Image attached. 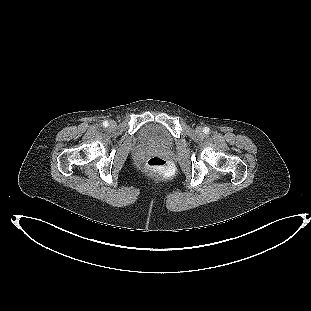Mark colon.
Instances as JSON below:
<instances>
[{
  "label": "colon",
  "mask_w": 311,
  "mask_h": 311,
  "mask_svg": "<svg viewBox=\"0 0 311 311\" xmlns=\"http://www.w3.org/2000/svg\"><path fill=\"white\" fill-rule=\"evenodd\" d=\"M146 168L149 172L161 176H167L171 171L170 164L160 156H153L148 159Z\"/></svg>",
  "instance_id": "1"
}]
</instances>
